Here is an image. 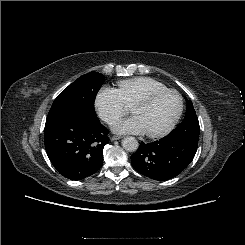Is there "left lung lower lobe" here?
Segmentation results:
<instances>
[{"label": "left lung lower lobe", "instance_id": "obj_1", "mask_svg": "<svg viewBox=\"0 0 245 245\" xmlns=\"http://www.w3.org/2000/svg\"><path fill=\"white\" fill-rule=\"evenodd\" d=\"M198 142L168 140L166 137L152 143L141 142L131 155V163L140 174L163 181L179 175L193 160Z\"/></svg>", "mask_w": 245, "mask_h": 245}]
</instances>
